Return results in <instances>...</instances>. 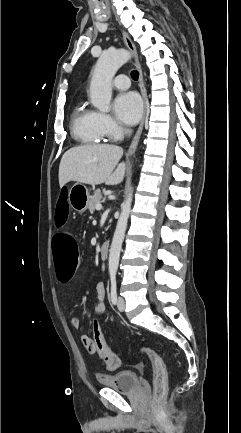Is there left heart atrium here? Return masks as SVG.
Masks as SVG:
<instances>
[{
	"label": "left heart atrium",
	"mask_w": 241,
	"mask_h": 433,
	"mask_svg": "<svg viewBox=\"0 0 241 433\" xmlns=\"http://www.w3.org/2000/svg\"><path fill=\"white\" fill-rule=\"evenodd\" d=\"M116 117L125 125H134L142 115L143 104L135 92H126L118 95L114 100Z\"/></svg>",
	"instance_id": "left-heart-atrium-1"
}]
</instances>
